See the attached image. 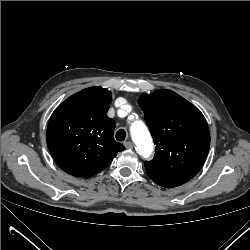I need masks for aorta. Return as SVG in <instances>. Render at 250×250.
<instances>
[{"mask_svg":"<svg viewBox=\"0 0 250 250\" xmlns=\"http://www.w3.org/2000/svg\"><path fill=\"white\" fill-rule=\"evenodd\" d=\"M131 136L140 154L148 157L153 149V142L149 131L140 125L134 124L131 127Z\"/></svg>","mask_w":250,"mask_h":250,"instance_id":"obj_1","label":"aorta"}]
</instances>
